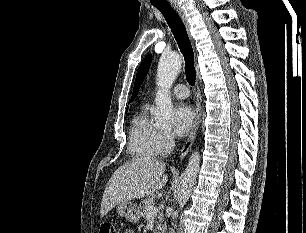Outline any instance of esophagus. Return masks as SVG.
Here are the masks:
<instances>
[{"mask_svg": "<svg viewBox=\"0 0 306 233\" xmlns=\"http://www.w3.org/2000/svg\"><path fill=\"white\" fill-rule=\"evenodd\" d=\"M172 7L174 8V10L180 16L183 24L185 25L188 36H189L192 44L194 45V41H193V38H192L191 33H190V24L187 20V17L185 16V13H184L183 9L176 3H172ZM201 103H202V97H201L200 88L198 86L197 91H196L195 122H194L192 130L189 134L188 139L186 140L185 144L183 145V147H182V149L179 153V159L180 160H182L188 154L189 150L192 147L193 141L195 139L197 130L199 128L200 119H201Z\"/></svg>", "mask_w": 306, "mask_h": 233, "instance_id": "esophagus-1", "label": "esophagus"}]
</instances>
